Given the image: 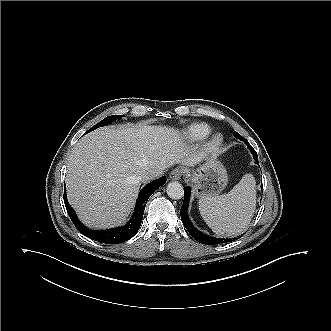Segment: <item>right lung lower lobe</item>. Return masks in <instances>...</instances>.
I'll return each mask as SVG.
<instances>
[{
    "mask_svg": "<svg viewBox=\"0 0 331 331\" xmlns=\"http://www.w3.org/2000/svg\"><path fill=\"white\" fill-rule=\"evenodd\" d=\"M165 182L166 177L163 176L146 185L139 193L131 220L125 226L119 228L102 231L91 230L78 220L73 208L67 201L66 190L64 192V202L69 217L80 233L101 243L118 244L129 240L137 233L142 222V217L148 198L158 187L163 185Z\"/></svg>",
    "mask_w": 331,
    "mask_h": 331,
    "instance_id": "right-lung-lower-lobe-1",
    "label": "right lung lower lobe"
}]
</instances>
